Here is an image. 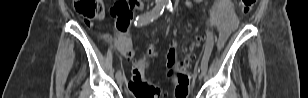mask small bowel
I'll return each mask as SVG.
<instances>
[{
	"label": "small bowel",
	"mask_w": 308,
	"mask_h": 98,
	"mask_svg": "<svg viewBox=\"0 0 308 98\" xmlns=\"http://www.w3.org/2000/svg\"><path fill=\"white\" fill-rule=\"evenodd\" d=\"M187 5L191 6L192 3L190 1H187ZM143 7V2L142 1H136L133 5V9H142ZM218 29L219 32V39H218V46L219 48H221L223 46V44L225 43V41L228 38L229 35V29L226 27H222L220 25H215Z\"/></svg>",
	"instance_id": "c3829d8e"
}]
</instances>
